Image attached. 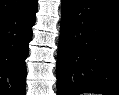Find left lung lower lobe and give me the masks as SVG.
Segmentation results:
<instances>
[{
	"instance_id": "1",
	"label": "left lung lower lobe",
	"mask_w": 119,
	"mask_h": 95,
	"mask_svg": "<svg viewBox=\"0 0 119 95\" xmlns=\"http://www.w3.org/2000/svg\"><path fill=\"white\" fill-rule=\"evenodd\" d=\"M58 95H119V2L62 0Z\"/></svg>"
}]
</instances>
